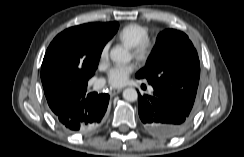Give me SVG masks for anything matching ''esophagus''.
Returning a JSON list of instances; mask_svg holds the SVG:
<instances>
[{
    "label": "esophagus",
    "mask_w": 244,
    "mask_h": 157,
    "mask_svg": "<svg viewBox=\"0 0 244 157\" xmlns=\"http://www.w3.org/2000/svg\"><path fill=\"white\" fill-rule=\"evenodd\" d=\"M121 91H122V88L112 89V90H110V95L114 96V95L120 93Z\"/></svg>",
    "instance_id": "34e87169"
}]
</instances>
